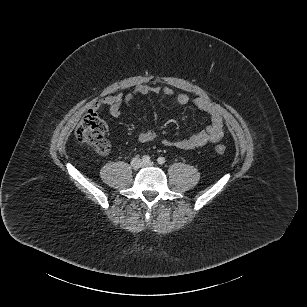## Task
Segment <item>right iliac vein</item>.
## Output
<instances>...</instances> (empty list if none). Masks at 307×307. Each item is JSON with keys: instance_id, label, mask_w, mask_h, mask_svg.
I'll list each match as a JSON object with an SVG mask.
<instances>
[{"instance_id": "63e3f726", "label": "right iliac vein", "mask_w": 307, "mask_h": 307, "mask_svg": "<svg viewBox=\"0 0 307 307\" xmlns=\"http://www.w3.org/2000/svg\"><path fill=\"white\" fill-rule=\"evenodd\" d=\"M141 166H142V162H141L140 159L134 158V159L131 161V167H132L133 169H139Z\"/></svg>"}]
</instances>
